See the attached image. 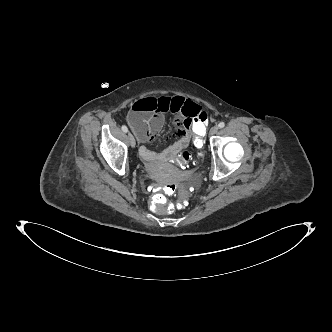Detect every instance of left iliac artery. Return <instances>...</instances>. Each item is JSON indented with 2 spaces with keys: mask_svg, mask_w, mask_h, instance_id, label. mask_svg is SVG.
Segmentation results:
<instances>
[{
  "mask_svg": "<svg viewBox=\"0 0 332 332\" xmlns=\"http://www.w3.org/2000/svg\"><path fill=\"white\" fill-rule=\"evenodd\" d=\"M225 126V123L224 122H220L219 124H218V127L219 128H223Z\"/></svg>",
  "mask_w": 332,
  "mask_h": 332,
  "instance_id": "left-iliac-artery-1",
  "label": "left iliac artery"
}]
</instances>
